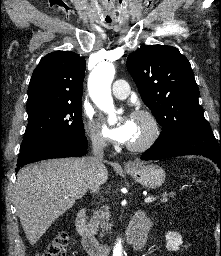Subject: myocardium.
<instances>
[{"mask_svg":"<svg viewBox=\"0 0 221 256\" xmlns=\"http://www.w3.org/2000/svg\"><path fill=\"white\" fill-rule=\"evenodd\" d=\"M133 115L134 117L143 118L146 121L148 125V133L142 140L138 142L129 143L128 148L132 151L147 150L151 146H153L160 137L161 125L155 114L148 109H137Z\"/></svg>","mask_w":221,"mask_h":256,"instance_id":"1","label":"myocardium"}]
</instances>
